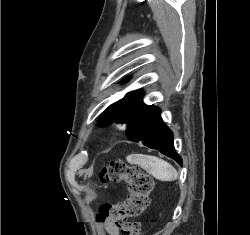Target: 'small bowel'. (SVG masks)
<instances>
[{
  "mask_svg": "<svg viewBox=\"0 0 250 235\" xmlns=\"http://www.w3.org/2000/svg\"><path fill=\"white\" fill-rule=\"evenodd\" d=\"M105 229L109 235H119V228L115 225H105Z\"/></svg>",
  "mask_w": 250,
  "mask_h": 235,
  "instance_id": "obj_1",
  "label": "small bowel"
}]
</instances>
